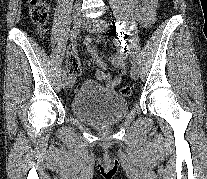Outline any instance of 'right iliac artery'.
I'll use <instances>...</instances> for the list:
<instances>
[{
	"instance_id": "right-iliac-artery-1",
	"label": "right iliac artery",
	"mask_w": 207,
	"mask_h": 179,
	"mask_svg": "<svg viewBox=\"0 0 207 179\" xmlns=\"http://www.w3.org/2000/svg\"><path fill=\"white\" fill-rule=\"evenodd\" d=\"M79 28H80V26L73 27V29L70 31V35H69L70 40H73L77 37V35L79 34V30H80ZM64 76H66V71L65 70H63V77Z\"/></svg>"
}]
</instances>
